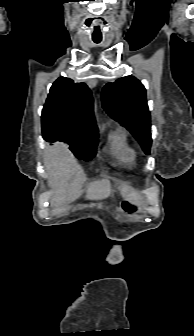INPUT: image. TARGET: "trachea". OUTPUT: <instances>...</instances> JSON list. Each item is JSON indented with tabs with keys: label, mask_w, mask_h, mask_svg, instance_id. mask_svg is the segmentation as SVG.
<instances>
[{
	"label": "trachea",
	"mask_w": 194,
	"mask_h": 336,
	"mask_svg": "<svg viewBox=\"0 0 194 336\" xmlns=\"http://www.w3.org/2000/svg\"><path fill=\"white\" fill-rule=\"evenodd\" d=\"M96 44H99L100 43V41H94Z\"/></svg>",
	"instance_id": "trachea-1"
}]
</instances>
